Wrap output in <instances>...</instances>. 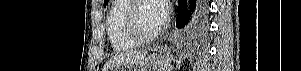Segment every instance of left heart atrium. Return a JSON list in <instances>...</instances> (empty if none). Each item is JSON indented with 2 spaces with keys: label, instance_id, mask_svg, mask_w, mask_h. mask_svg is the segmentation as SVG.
<instances>
[{
  "label": "left heart atrium",
  "instance_id": "obj_1",
  "mask_svg": "<svg viewBox=\"0 0 301 71\" xmlns=\"http://www.w3.org/2000/svg\"><path fill=\"white\" fill-rule=\"evenodd\" d=\"M159 29H163L168 21L170 6L166 0H152Z\"/></svg>",
  "mask_w": 301,
  "mask_h": 71
}]
</instances>
